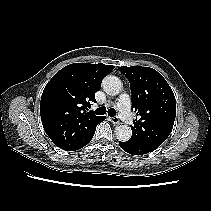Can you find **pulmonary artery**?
I'll return each mask as SVG.
<instances>
[{
  "label": "pulmonary artery",
  "mask_w": 211,
  "mask_h": 211,
  "mask_svg": "<svg viewBox=\"0 0 211 211\" xmlns=\"http://www.w3.org/2000/svg\"><path fill=\"white\" fill-rule=\"evenodd\" d=\"M119 116L126 124H133L134 118L130 112V98L127 94H122L118 100Z\"/></svg>",
  "instance_id": "pulmonary-artery-1"
}]
</instances>
